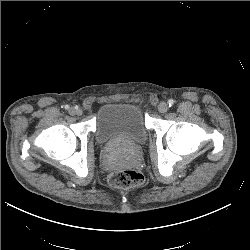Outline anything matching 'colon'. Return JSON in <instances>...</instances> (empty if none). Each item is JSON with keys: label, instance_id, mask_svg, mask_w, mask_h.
<instances>
[{"label": "colon", "instance_id": "obj_1", "mask_svg": "<svg viewBox=\"0 0 250 250\" xmlns=\"http://www.w3.org/2000/svg\"><path fill=\"white\" fill-rule=\"evenodd\" d=\"M143 175L135 170L115 171L109 176V184L117 189H130L143 183Z\"/></svg>", "mask_w": 250, "mask_h": 250}]
</instances>
